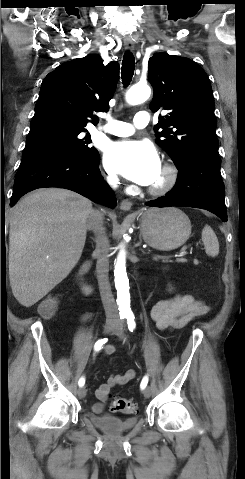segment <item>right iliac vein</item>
I'll return each instance as SVG.
<instances>
[{
  "label": "right iliac vein",
  "mask_w": 245,
  "mask_h": 479,
  "mask_svg": "<svg viewBox=\"0 0 245 479\" xmlns=\"http://www.w3.org/2000/svg\"><path fill=\"white\" fill-rule=\"evenodd\" d=\"M116 328H117V323L107 322L104 326V334H109L110 332L114 331ZM77 393L80 398H84L86 396V389L84 387H80Z\"/></svg>",
  "instance_id": "63e3f726"
}]
</instances>
